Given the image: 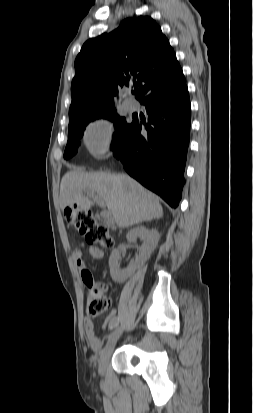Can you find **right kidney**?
I'll list each match as a JSON object with an SVG mask.
<instances>
[{"label": "right kidney", "instance_id": "ca27d5eb", "mask_svg": "<svg viewBox=\"0 0 253 413\" xmlns=\"http://www.w3.org/2000/svg\"><path fill=\"white\" fill-rule=\"evenodd\" d=\"M126 237L129 243H136L137 238H139L143 241V245L139 249V253L136 254L135 261L131 263L127 269H120L119 262L121 260V255L119 250H114L111 253L109 258L110 274L112 279L117 282L125 281L137 269L145 264L155 250L160 235L157 230H149L144 226H138L130 230Z\"/></svg>", "mask_w": 253, "mask_h": 413}]
</instances>
